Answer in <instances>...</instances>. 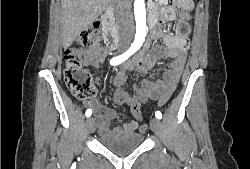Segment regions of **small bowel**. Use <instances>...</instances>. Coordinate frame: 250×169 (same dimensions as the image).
I'll return each instance as SVG.
<instances>
[{
  "mask_svg": "<svg viewBox=\"0 0 250 169\" xmlns=\"http://www.w3.org/2000/svg\"><path fill=\"white\" fill-rule=\"evenodd\" d=\"M178 15L181 20L187 21L190 18L191 8L185 9L180 7L178 3ZM168 13V10L162 9L161 11H151L149 13V21L153 22L159 16L163 17ZM188 33V32H187ZM186 34H180L169 47L157 46L148 51H140L130 61L126 62L123 68L115 74L112 83L115 87L113 101L116 105H127L130 108V103H146L149 100H156L155 96L159 95V91L164 89H176L179 82L186 57L187 49L189 46ZM76 56L80 59L82 64H90L92 66H99L105 60V53L96 48L86 50L82 48L75 49ZM166 57L170 60L165 70L153 80L143 79L139 85H134V95H130L123 85L126 79V72L136 70L140 73L146 74L154 66L156 61ZM96 83L99 84V78L96 77ZM167 83H173V88H167ZM172 95V94H171ZM84 105L94 111L95 117L98 121L100 133L106 134L109 131V123L113 120L117 113L115 110L104 106L97 99H89L83 101ZM131 110V108H130ZM132 120L123 126H116L112 131L120 133H132L137 127L135 115H131Z\"/></svg>",
  "mask_w": 250,
  "mask_h": 169,
  "instance_id": "obj_1",
  "label": "small bowel"
}]
</instances>
